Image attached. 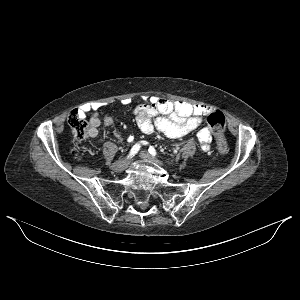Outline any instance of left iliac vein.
Wrapping results in <instances>:
<instances>
[{
  "label": "left iliac vein",
  "mask_w": 300,
  "mask_h": 300,
  "mask_svg": "<svg viewBox=\"0 0 300 300\" xmlns=\"http://www.w3.org/2000/svg\"><path fill=\"white\" fill-rule=\"evenodd\" d=\"M140 157H141L142 159H144V160L154 162V163H156V164H158V165H162L161 162H160L158 159H156L155 157L151 156V155H150L148 152H146V151H142V152L140 153Z\"/></svg>",
  "instance_id": "obj_1"
}]
</instances>
